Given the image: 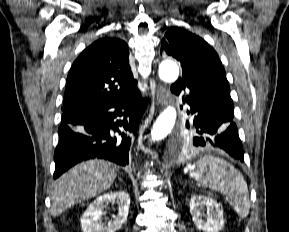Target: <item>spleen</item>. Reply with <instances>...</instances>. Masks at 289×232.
<instances>
[{
	"label": "spleen",
	"instance_id": "1",
	"mask_svg": "<svg viewBox=\"0 0 289 232\" xmlns=\"http://www.w3.org/2000/svg\"><path fill=\"white\" fill-rule=\"evenodd\" d=\"M191 176L225 195L241 218L248 216L250 200L247 183L233 165L220 158L206 157L198 161L196 167L191 168Z\"/></svg>",
	"mask_w": 289,
	"mask_h": 232
}]
</instances>
